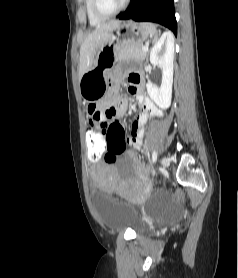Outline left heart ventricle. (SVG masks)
Here are the masks:
<instances>
[{
	"label": "left heart ventricle",
	"instance_id": "b2bd125f",
	"mask_svg": "<svg viewBox=\"0 0 238 278\" xmlns=\"http://www.w3.org/2000/svg\"><path fill=\"white\" fill-rule=\"evenodd\" d=\"M104 11H112L120 6L123 0H99Z\"/></svg>",
	"mask_w": 238,
	"mask_h": 278
}]
</instances>
